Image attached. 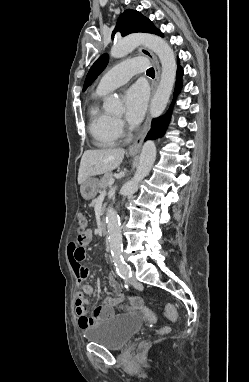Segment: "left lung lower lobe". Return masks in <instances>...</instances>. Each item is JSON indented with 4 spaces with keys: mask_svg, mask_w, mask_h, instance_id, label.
Returning a JSON list of instances; mask_svg holds the SVG:
<instances>
[{
    "mask_svg": "<svg viewBox=\"0 0 249 382\" xmlns=\"http://www.w3.org/2000/svg\"><path fill=\"white\" fill-rule=\"evenodd\" d=\"M183 75V70L179 66L177 70V83H176V93L180 90L181 87V78ZM170 113L171 109L167 112L166 115L160 118L153 119L152 121V127L149 133L147 134L146 140L147 139H155L157 137L162 136L165 133V130L168 126V122L170 119Z\"/></svg>",
    "mask_w": 249,
    "mask_h": 382,
    "instance_id": "0a47b994",
    "label": "left lung lower lobe"
}]
</instances>
